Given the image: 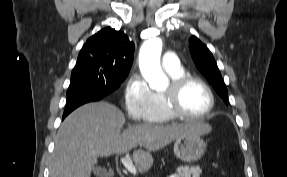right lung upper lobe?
<instances>
[{"label":"right lung upper lobe","instance_id":"cb5924a9","mask_svg":"<svg viewBox=\"0 0 287 177\" xmlns=\"http://www.w3.org/2000/svg\"><path fill=\"white\" fill-rule=\"evenodd\" d=\"M133 53V42L123 32L107 27L86 41L76 66L124 75L130 71Z\"/></svg>","mask_w":287,"mask_h":177}]
</instances>
